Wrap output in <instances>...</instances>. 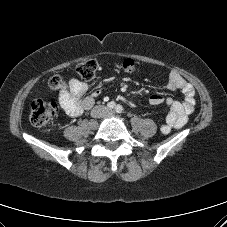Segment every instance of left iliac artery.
I'll list each match as a JSON object with an SVG mask.
<instances>
[{
    "label": "left iliac artery",
    "mask_w": 227,
    "mask_h": 227,
    "mask_svg": "<svg viewBox=\"0 0 227 227\" xmlns=\"http://www.w3.org/2000/svg\"><path fill=\"white\" fill-rule=\"evenodd\" d=\"M115 111L118 113V114H121L123 112V107L121 105H117L115 107Z\"/></svg>",
    "instance_id": "1"
}]
</instances>
